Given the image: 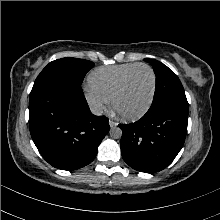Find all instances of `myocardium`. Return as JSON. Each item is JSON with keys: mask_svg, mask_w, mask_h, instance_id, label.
Instances as JSON below:
<instances>
[{"mask_svg": "<svg viewBox=\"0 0 220 220\" xmlns=\"http://www.w3.org/2000/svg\"><path fill=\"white\" fill-rule=\"evenodd\" d=\"M141 67L148 69L151 73V76H152V90H151L149 100H148L146 106L138 113L131 114V115L120 113L116 108V101H117L118 97L120 96V94L123 92V90H124V88H125V86L128 82V79L130 78L132 73L136 69L141 68ZM156 88H157V77H156V73H155L154 69L146 63H138L137 65H135L133 68H131L124 75V77L122 78V80L118 84L117 88L115 89V91L112 95V98H111L112 107L119 114V116L122 119L127 120V121H136V120L142 118L149 111V109L151 108V106L153 104V101H154V98H155Z\"/></svg>", "mask_w": 220, "mask_h": 220, "instance_id": "f54148a6", "label": "myocardium"}]
</instances>
